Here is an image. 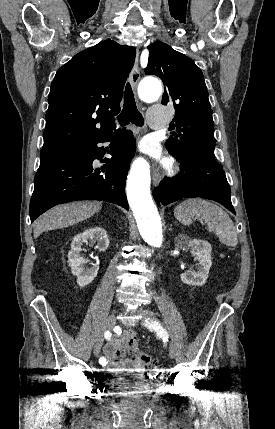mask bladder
Segmentation results:
<instances>
[{"label": "bladder", "instance_id": "bladder-1", "mask_svg": "<svg viewBox=\"0 0 275 429\" xmlns=\"http://www.w3.org/2000/svg\"><path fill=\"white\" fill-rule=\"evenodd\" d=\"M107 385V398H119V403H144L158 391L151 377H108Z\"/></svg>", "mask_w": 275, "mask_h": 429}]
</instances>
